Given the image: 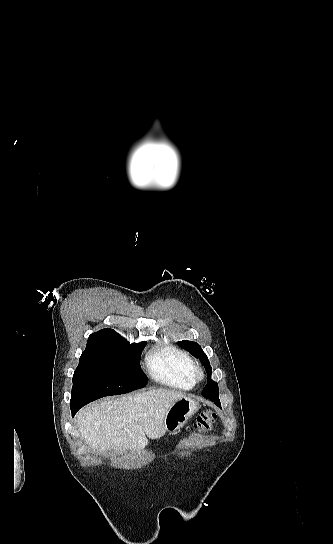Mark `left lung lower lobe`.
I'll use <instances>...</instances> for the list:
<instances>
[{"label":"left lung lower lobe","instance_id":"1","mask_svg":"<svg viewBox=\"0 0 333 544\" xmlns=\"http://www.w3.org/2000/svg\"><path fill=\"white\" fill-rule=\"evenodd\" d=\"M202 396L213 401L218 407H221L220 400H219V392L203 393Z\"/></svg>","mask_w":333,"mask_h":544}]
</instances>
